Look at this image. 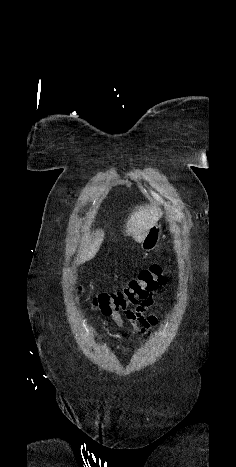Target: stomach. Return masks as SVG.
Wrapping results in <instances>:
<instances>
[{
  "instance_id": "1",
  "label": "stomach",
  "mask_w": 236,
  "mask_h": 467,
  "mask_svg": "<svg viewBox=\"0 0 236 467\" xmlns=\"http://www.w3.org/2000/svg\"><path fill=\"white\" fill-rule=\"evenodd\" d=\"M161 226L155 224L147 233L144 240L141 243L142 250L149 252L154 250L160 241Z\"/></svg>"
}]
</instances>
